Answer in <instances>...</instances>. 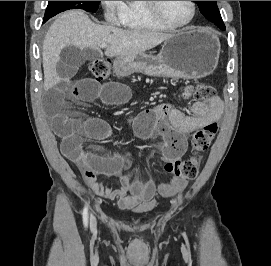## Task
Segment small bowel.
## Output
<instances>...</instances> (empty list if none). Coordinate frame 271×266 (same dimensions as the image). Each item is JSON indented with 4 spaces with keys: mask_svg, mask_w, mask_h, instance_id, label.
Returning a JSON list of instances; mask_svg holds the SVG:
<instances>
[{
    "mask_svg": "<svg viewBox=\"0 0 271 266\" xmlns=\"http://www.w3.org/2000/svg\"><path fill=\"white\" fill-rule=\"evenodd\" d=\"M80 65L81 60L71 54L49 69L47 76L50 89L45 109L51 117L54 131L61 139L62 153L77 165L86 185L105 199L117 200L120 209L140 205L151 207L157 191L165 196L181 192L187 185L185 180L174 178L156 184L151 179H132L127 173L130 160L125 155L116 153L104 157L89 150L85 138L108 140L113 136L112 127L98 117L80 121L68 115L65 112L67 101L75 98L121 105L128 101L130 91L121 83L102 84L89 78L75 80ZM222 110L223 104L218 97H214L208 104L194 102L189 113L163 103L142 111L133 124L136 133L142 138L153 134L161 136L163 159L168 161L179 159L187 149L188 135L208 123L217 122ZM99 178L116 180L118 184L107 186Z\"/></svg>",
    "mask_w": 271,
    "mask_h": 266,
    "instance_id": "small-bowel-1",
    "label": "small bowel"
}]
</instances>
